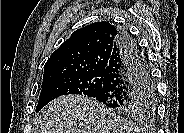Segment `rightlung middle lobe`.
Masks as SVG:
<instances>
[{
  "label": "right lung middle lobe",
  "mask_w": 184,
  "mask_h": 133,
  "mask_svg": "<svg viewBox=\"0 0 184 133\" xmlns=\"http://www.w3.org/2000/svg\"><path fill=\"white\" fill-rule=\"evenodd\" d=\"M103 74L64 77L55 79L42 86L39 96L36 112L40 111L45 105L55 98L68 95L78 94L89 97H95L102 88ZM105 105V104H104ZM106 106V105H105ZM107 110L119 114L148 117L152 116L156 108V90L154 85L147 94V98L132 105H108Z\"/></svg>",
  "instance_id": "dd1d6c3e"
}]
</instances>
